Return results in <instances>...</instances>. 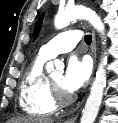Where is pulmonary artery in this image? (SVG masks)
<instances>
[{
    "instance_id": "1",
    "label": "pulmonary artery",
    "mask_w": 118,
    "mask_h": 123,
    "mask_svg": "<svg viewBox=\"0 0 118 123\" xmlns=\"http://www.w3.org/2000/svg\"><path fill=\"white\" fill-rule=\"evenodd\" d=\"M82 38V32L77 29L64 31L40 48L39 54L50 59L58 54L71 51Z\"/></svg>"
}]
</instances>
